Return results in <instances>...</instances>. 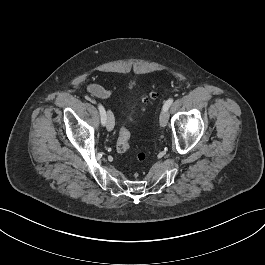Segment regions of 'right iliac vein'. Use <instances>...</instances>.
I'll return each mask as SVG.
<instances>
[{
    "label": "right iliac vein",
    "mask_w": 265,
    "mask_h": 265,
    "mask_svg": "<svg viewBox=\"0 0 265 265\" xmlns=\"http://www.w3.org/2000/svg\"><path fill=\"white\" fill-rule=\"evenodd\" d=\"M106 128L108 131H111L114 128V116L111 111H107L106 116Z\"/></svg>",
    "instance_id": "1"
}]
</instances>
